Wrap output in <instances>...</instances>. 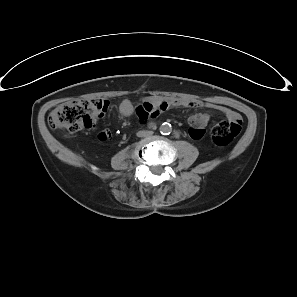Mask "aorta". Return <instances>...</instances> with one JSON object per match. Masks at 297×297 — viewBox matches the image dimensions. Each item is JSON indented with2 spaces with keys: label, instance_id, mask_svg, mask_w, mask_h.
<instances>
[{
  "label": "aorta",
  "instance_id": "762f6f07",
  "mask_svg": "<svg viewBox=\"0 0 297 297\" xmlns=\"http://www.w3.org/2000/svg\"><path fill=\"white\" fill-rule=\"evenodd\" d=\"M159 130H160V133L161 134H164V135L170 134L171 131H172L171 124H169V123H163L160 126Z\"/></svg>",
  "mask_w": 297,
  "mask_h": 297
}]
</instances>
